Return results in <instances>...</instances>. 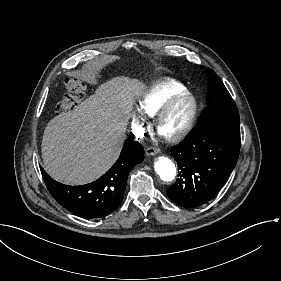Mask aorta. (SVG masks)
<instances>
[{
    "mask_svg": "<svg viewBox=\"0 0 281 281\" xmlns=\"http://www.w3.org/2000/svg\"><path fill=\"white\" fill-rule=\"evenodd\" d=\"M155 170L161 180L170 182L176 176V167L168 157H159L155 162Z\"/></svg>",
    "mask_w": 281,
    "mask_h": 281,
    "instance_id": "obj_1",
    "label": "aorta"
}]
</instances>
